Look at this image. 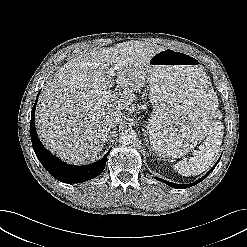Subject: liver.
Segmentation results:
<instances>
[{"instance_id": "6515ba94", "label": "liver", "mask_w": 247, "mask_h": 247, "mask_svg": "<svg viewBox=\"0 0 247 247\" xmlns=\"http://www.w3.org/2000/svg\"><path fill=\"white\" fill-rule=\"evenodd\" d=\"M163 49L128 41L79 54L60 67L39 96L36 127L41 141L71 163L94 161L109 132L106 116L122 115L121 110L135 99L134 92L148 81L151 57ZM110 66L115 79L109 74ZM115 84L118 89L104 100V93Z\"/></svg>"}]
</instances>
